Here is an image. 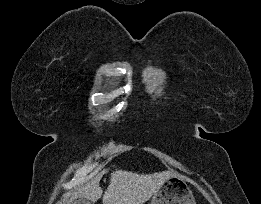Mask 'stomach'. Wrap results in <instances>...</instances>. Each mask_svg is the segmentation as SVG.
I'll list each match as a JSON object with an SVG mask.
<instances>
[{
	"mask_svg": "<svg viewBox=\"0 0 261 204\" xmlns=\"http://www.w3.org/2000/svg\"><path fill=\"white\" fill-rule=\"evenodd\" d=\"M150 204H196L187 181L172 174L153 195Z\"/></svg>",
	"mask_w": 261,
	"mask_h": 204,
	"instance_id": "obj_1",
	"label": "stomach"
}]
</instances>
